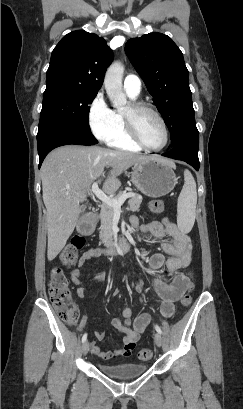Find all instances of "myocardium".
Segmentation results:
<instances>
[{"mask_svg": "<svg viewBox=\"0 0 243 409\" xmlns=\"http://www.w3.org/2000/svg\"><path fill=\"white\" fill-rule=\"evenodd\" d=\"M142 111L150 112L160 122V124H161V126L163 128V132H164V142H163V144L161 146L151 147V146L147 145L142 140V138H141V136H140V134L138 132V129L136 127V124H135L136 114H138L139 112H142ZM121 116L123 118V121H124L126 131H127V134L129 136V138L135 144H137L140 148H143V149L148 150V151L158 152V151L163 150L168 145V142H169V129H168L167 123L164 120L163 116L154 107H152L148 103L143 102V101H137V100L131 101L128 104V112L127 113L122 112Z\"/></svg>", "mask_w": 243, "mask_h": 409, "instance_id": "myocardium-1", "label": "myocardium"}]
</instances>
